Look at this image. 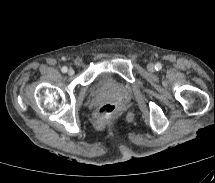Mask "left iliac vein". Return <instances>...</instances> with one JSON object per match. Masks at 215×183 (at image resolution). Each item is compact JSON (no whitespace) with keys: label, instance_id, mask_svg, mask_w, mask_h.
<instances>
[{"label":"left iliac vein","instance_id":"left-iliac-vein-1","mask_svg":"<svg viewBox=\"0 0 215 183\" xmlns=\"http://www.w3.org/2000/svg\"><path fill=\"white\" fill-rule=\"evenodd\" d=\"M154 64H152V63H150V64H148V66H147V69L149 70V71H154Z\"/></svg>","mask_w":215,"mask_h":183}]
</instances>
